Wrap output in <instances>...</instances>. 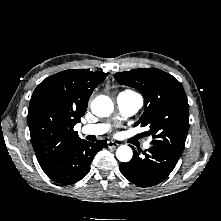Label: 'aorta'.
I'll list each match as a JSON object with an SVG mask.
<instances>
[{"label": "aorta", "instance_id": "762f6f07", "mask_svg": "<svg viewBox=\"0 0 221 221\" xmlns=\"http://www.w3.org/2000/svg\"><path fill=\"white\" fill-rule=\"evenodd\" d=\"M114 106L112 100L105 95L97 96L91 102V111L98 117H107L113 112ZM132 149L127 145H121L117 148L116 157L121 162H129L132 159Z\"/></svg>", "mask_w": 221, "mask_h": 221}]
</instances>
